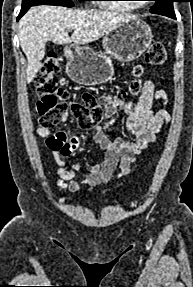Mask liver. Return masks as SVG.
I'll use <instances>...</instances> for the list:
<instances>
[{
    "label": "liver",
    "mask_w": 193,
    "mask_h": 287,
    "mask_svg": "<svg viewBox=\"0 0 193 287\" xmlns=\"http://www.w3.org/2000/svg\"><path fill=\"white\" fill-rule=\"evenodd\" d=\"M135 16L107 10H78L56 6H35L19 21V41L28 61L27 83L32 82L42 68L45 45H85L97 41L115 27ZM74 30L69 37L68 32Z\"/></svg>",
    "instance_id": "6515ba94"
}]
</instances>
